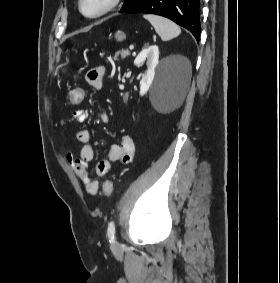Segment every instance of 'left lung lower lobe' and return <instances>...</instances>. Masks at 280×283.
Returning <instances> with one entry per match:
<instances>
[{
    "mask_svg": "<svg viewBox=\"0 0 280 283\" xmlns=\"http://www.w3.org/2000/svg\"><path fill=\"white\" fill-rule=\"evenodd\" d=\"M200 0H137L121 13H152L167 17L188 29L199 41Z\"/></svg>",
    "mask_w": 280,
    "mask_h": 283,
    "instance_id": "obj_1",
    "label": "left lung lower lobe"
}]
</instances>
